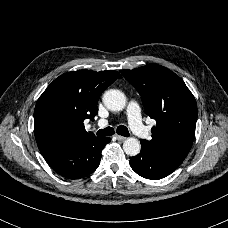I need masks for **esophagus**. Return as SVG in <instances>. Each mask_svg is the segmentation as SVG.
Returning <instances> with one entry per match:
<instances>
[{
    "mask_svg": "<svg viewBox=\"0 0 228 228\" xmlns=\"http://www.w3.org/2000/svg\"><path fill=\"white\" fill-rule=\"evenodd\" d=\"M116 138H117L119 141H124V140L127 139L126 137L121 136V135H116Z\"/></svg>",
    "mask_w": 228,
    "mask_h": 228,
    "instance_id": "esophagus-1",
    "label": "esophagus"
}]
</instances>
